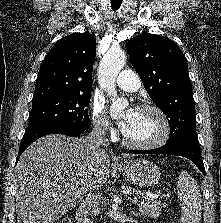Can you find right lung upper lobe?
<instances>
[{"label":"right lung upper lobe","mask_w":221,"mask_h":223,"mask_svg":"<svg viewBox=\"0 0 221 223\" xmlns=\"http://www.w3.org/2000/svg\"><path fill=\"white\" fill-rule=\"evenodd\" d=\"M95 48L90 33H72L59 40L41 65L33 100L91 92Z\"/></svg>","instance_id":"1"}]
</instances>
